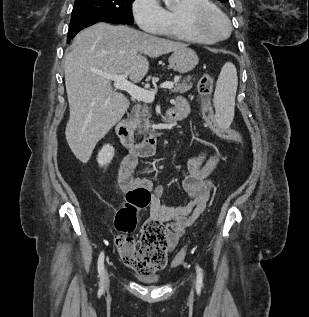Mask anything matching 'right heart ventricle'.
<instances>
[{"mask_svg": "<svg viewBox=\"0 0 309 317\" xmlns=\"http://www.w3.org/2000/svg\"><path fill=\"white\" fill-rule=\"evenodd\" d=\"M197 5L213 4L210 0H179V3L176 7L165 9L166 26L164 28L163 34L178 40L207 43L191 35L182 25V12L188 7Z\"/></svg>", "mask_w": 309, "mask_h": 317, "instance_id": "obj_1", "label": "right heart ventricle"}]
</instances>
